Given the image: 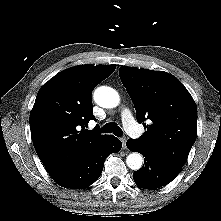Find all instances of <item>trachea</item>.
I'll use <instances>...</instances> for the list:
<instances>
[{
    "mask_svg": "<svg viewBox=\"0 0 221 221\" xmlns=\"http://www.w3.org/2000/svg\"><path fill=\"white\" fill-rule=\"evenodd\" d=\"M102 133H113L117 137H121L123 135L122 129L117 126L116 123H106L102 129Z\"/></svg>",
    "mask_w": 221,
    "mask_h": 221,
    "instance_id": "1",
    "label": "trachea"
}]
</instances>
